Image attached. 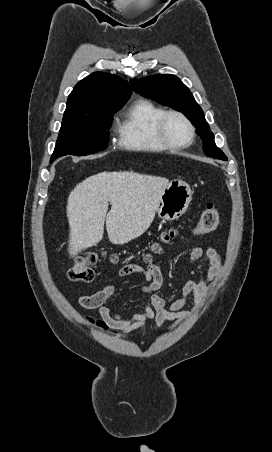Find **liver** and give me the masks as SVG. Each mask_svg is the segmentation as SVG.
Instances as JSON below:
<instances>
[{"label":"liver","instance_id":"obj_1","mask_svg":"<svg viewBox=\"0 0 272 452\" xmlns=\"http://www.w3.org/2000/svg\"><path fill=\"white\" fill-rule=\"evenodd\" d=\"M168 184L163 177L105 171L76 185L67 200L70 256L96 246L103 238L104 224L113 244L141 236L151 225Z\"/></svg>","mask_w":272,"mask_h":452}]
</instances>
